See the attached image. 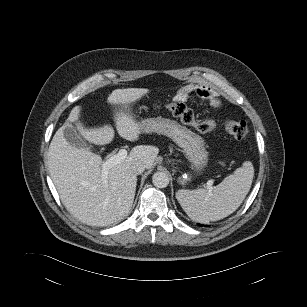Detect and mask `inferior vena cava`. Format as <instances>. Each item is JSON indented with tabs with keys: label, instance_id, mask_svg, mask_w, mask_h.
Listing matches in <instances>:
<instances>
[{
	"label": "inferior vena cava",
	"instance_id": "1",
	"mask_svg": "<svg viewBox=\"0 0 307 307\" xmlns=\"http://www.w3.org/2000/svg\"><path fill=\"white\" fill-rule=\"evenodd\" d=\"M146 166L142 162H135L132 166L131 169L135 174H141L145 170Z\"/></svg>",
	"mask_w": 307,
	"mask_h": 307
}]
</instances>
